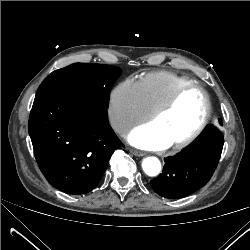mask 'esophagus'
Here are the masks:
<instances>
[{
  "label": "esophagus",
  "instance_id": "esophagus-1",
  "mask_svg": "<svg viewBox=\"0 0 250 250\" xmlns=\"http://www.w3.org/2000/svg\"><path fill=\"white\" fill-rule=\"evenodd\" d=\"M130 152L138 157L144 156V153L142 151L136 150V149H130Z\"/></svg>",
  "mask_w": 250,
  "mask_h": 250
}]
</instances>
